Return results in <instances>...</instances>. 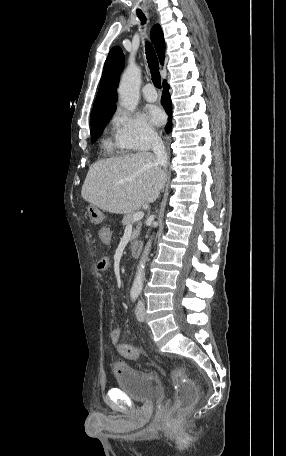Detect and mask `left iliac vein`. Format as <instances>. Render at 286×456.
<instances>
[{
  "mask_svg": "<svg viewBox=\"0 0 286 456\" xmlns=\"http://www.w3.org/2000/svg\"><path fill=\"white\" fill-rule=\"evenodd\" d=\"M136 317L138 320L143 321L145 318V304L142 300H139L137 306H136Z\"/></svg>",
  "mask_w": 286,
  "mask_h": 456,
  "instance_id": "left-iliac-vein-1",
  "label": "left iliac vein"
}]
</instances>
